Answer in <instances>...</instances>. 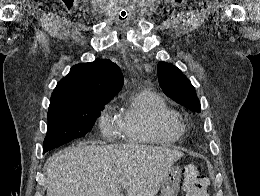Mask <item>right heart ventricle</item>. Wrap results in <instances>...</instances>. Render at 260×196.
<instances>
[{
	"mask_svg": "<svg viewBox=\"0 0 260 196\" xmlns=\"http://www.w3.org/2000/svg\"><path fill=\"white\" fill-rule=\"evenodd\" d=\"M156 109V112L154 110ZM176 113L156 93L143 85L130 92V98L120 114V126L133 131L135 141L149 145H166L180 139L182 131L173 124ZM118 192V190H90Z\"/></svg>",
	"mask_w": 260,
	"mask_h": 196,
	"instance_id": "obj_1",
	"label": "right heart ventricle"
}]
</instances>
